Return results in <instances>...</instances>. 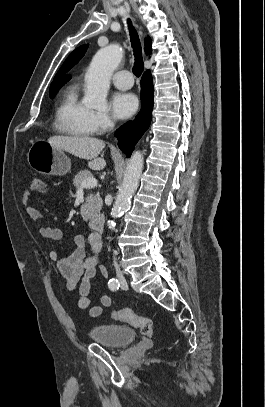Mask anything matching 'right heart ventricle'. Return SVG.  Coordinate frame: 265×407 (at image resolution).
I'll return each instance as SVG.
<instances>
[{"label":"right heart ventricle","instance_id":"1","mask_svg":"<svg viewBox=\"0 0 265 407\" xmlns=\"http://www.w3.org/2000/svg\"><path fill=\"white\" fill-rule=\"evenodd\" d=\"M90 116L91 110L78 98L77 86H68L55 110V128L66 135L89 137L95 133Z\"/></svg>","mask_w":265,"mask_h":407}]
</instances>
